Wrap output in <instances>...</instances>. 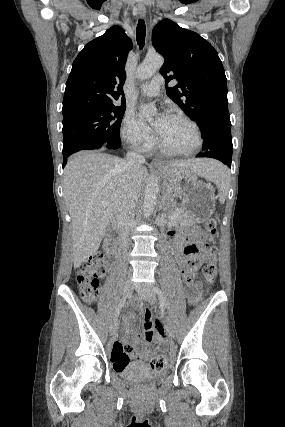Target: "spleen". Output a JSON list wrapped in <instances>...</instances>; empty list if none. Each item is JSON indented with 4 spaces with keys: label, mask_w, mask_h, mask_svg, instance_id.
<instances>
[{
    "label": "spleen",
    "mask_w": 285,
    "mask_h": 427,
    "mask_svg": "<svg viewBox=\"0 0 285 427\" xmlns=\"http://www.w3.org/2000/svg\"><path fill=\"white\" fill-rule=\"evenodd\" d=\"M217 162V161H216ZM212 181L219 191V199L221 203L225 201V195L229 189V172L227 168L218 163L212 170L211 176L208 178Z\"/></svg>",
    "instance_id": "3e777b00"
}]
</instances>
